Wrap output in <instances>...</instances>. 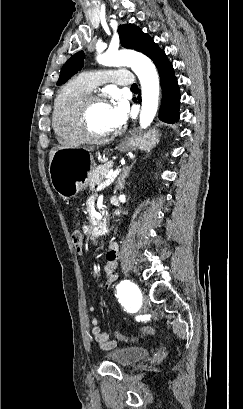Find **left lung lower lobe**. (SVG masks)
<instances>
[{
    "label": "left lung lower lobe",
    "mask_w": 243,
    "mask_h": 409,
    "mask_svg": "<svg viewBox=\"0 0 243 409\" xmlns=\"http://www.w3.org/2000/svg\"><path fill=\"white\" fill-rule=\"evenodd\" d=\"M162 86V104L159 110V119L166 123L178 121L180 92L173 66L170 62L158 68ZM135 100V99H134ZM140 100V98H139Z\"/></svg>",
    "instance_id": "1"
}]
</instances>
